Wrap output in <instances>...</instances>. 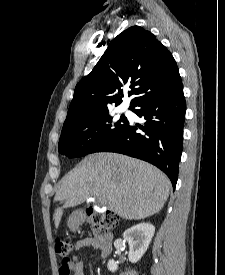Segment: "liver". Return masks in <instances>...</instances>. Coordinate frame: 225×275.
<instances>
[{
  "label": "liver",
  "instance_id": "liver-1",
  "mask_svg": "<svg viewBox=\"0 0 225 275\" xmlns=\"http://www.w3.org/2000/svg\"><path fill=\"white\" fill-rule=\"evenodd\" d=\"M170 188L168 177L147 162L109 152L88 155L59 182L54 200L65 205L55 211V227L64 208L89 198L126 220L145 219L163 208Z\"/></svg>",
  "mask_w": 225,
  "mask_h": 275
}]
</instances>
